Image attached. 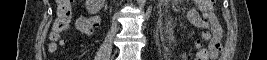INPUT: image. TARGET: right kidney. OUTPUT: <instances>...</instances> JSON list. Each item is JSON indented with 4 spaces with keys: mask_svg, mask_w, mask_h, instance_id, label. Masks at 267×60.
I'll return each mask as SVG.
<instances>
[{
    "mask_svg": "<svg viewBox=\"0 0 267 60\" xmlns=\"http://www.w3.org/2000/svg\"><path fill=\"white\" fill-rule=\"evenodd\" d=\"M105 0H86V9L90 14H97L103 7Z\"/></svg>",
    "mask_w": 267,
    "mask_h": 60,
    "instance_id": "right-kidney-1",
    "label": "right kidney"
}]
</instances>
